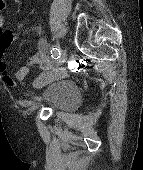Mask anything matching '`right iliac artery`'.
<instances>
[{"label":"right iliac artery","mask_w":143,"mask_h":170,"mask_svg":"<svg viewBox=\"0 0 143 170\" xmlns=\"http://www.w3.org/2000/svg\"><path fill=\"white\" fill-rule=\"evenodd\" d=\"M61 55V51H60V48L58 47H54L51 49V57L55 60L59 59Z\"/></svg>","instance_id":"obj_1"}]
</instances>
